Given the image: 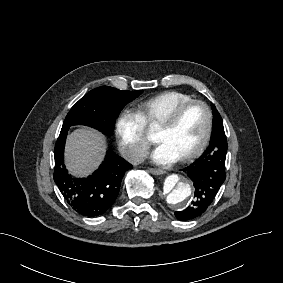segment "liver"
Instances as JSON below:
<instances>
[{
    "label": "liver",
    "mask_w": 283,
    "mask_h": 283,
    "mask_svg": "<svg viewBox=\"0 0 283 283\" xmlns=\"http://www.w3.org/2000/svg\"><path fill=\"white\" fill-rule=\"evenodd\" d=\"M106 147V137L97 130H74L68 135L65 147V163L71 175H90L103 161Z\"/></svg>",
    "instance_id": "6515ba94"
}]
</instances>
